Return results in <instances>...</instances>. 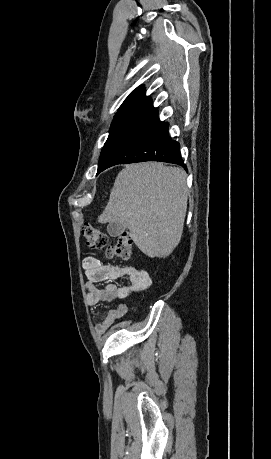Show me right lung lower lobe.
Segmentation results:
<instances>
[{
  "mask_svg": "<svg viewBox=\"0 0 271 459\" xmlns=\"http://www.w3.org/2000/svg\"><path fill=\"white\" fill-rule=\"evenodd\" d=\"M169 124L158 118L131 138L105 165L104 170L116 164L161 161L182 166L187 170L180 145L168 134Z\"/></svg>",
  "mask_w": 271,
  "mask_h": 459,
  "instance_id": "obj_1",
  "label": "right lung lower lobe"
}]
</instances>
